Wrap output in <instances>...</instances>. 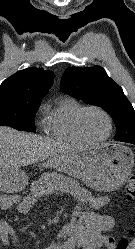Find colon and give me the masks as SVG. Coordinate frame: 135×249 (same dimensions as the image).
<instances>
[{
  "instance_id": "obj_1",
  "label": "colon",
  "mask_w": 135,
  "mask_h": 249,
  "mask_svg": "<svg viewBox=\"0 0 135 249\" xmlns=\"http://www.w3.org/2000/svg\"><path fill=\"white\" fill-rule=\"evenodd\" d=\"M125 194L127 199L129 200H134L135 199V174L132 175L125 186ZM135 237V232L134 230L130 231V233L125 236L122 237L118 244H117V249H128L129 247V243H130V239Z\"/></svg>"
}]
</instances>
